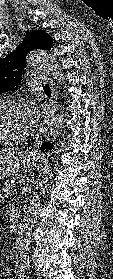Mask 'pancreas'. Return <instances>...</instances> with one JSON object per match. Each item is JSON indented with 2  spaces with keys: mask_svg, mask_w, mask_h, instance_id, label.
Here are the masks:
<instances>
[{
  "mask_svg": "<svg viewBox=\"0 0 113 279\" xmlns=\"http://www.w3.org/2000/svg\"><path fill=\"white\" fill-rule=\"evenodd\" d=\"M25 176V173H19L14 175L10 180H7L4 188L2 189L4 196H9L15 190V186L24 180Z\"/></svg>",
  "mask_w": 113,
  "mask_h": 279,
  "instance_id": "pancreas-1",
  "label": "pancreas"
}]
</instances>
